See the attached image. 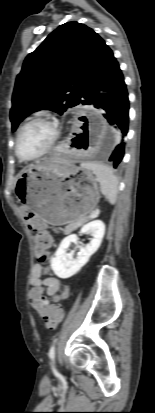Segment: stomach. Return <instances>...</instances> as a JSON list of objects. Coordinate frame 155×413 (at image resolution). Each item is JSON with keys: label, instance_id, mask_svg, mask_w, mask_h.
I'll return each instance as SVG.
<instances>
[{"label": "stomach", "instance_id": "stomach-1", "mask_svg": "<svg viewBox=\"0 0 155 413\" xmlns=\"http://www.w3.org/2000/svg\"><path fill=\"white\" fill-rule=\"evenodd\" d=\"M15 194L35 216L59 226L85 221L99 202L100 187L89 170L47 161L19 173Z\"/></svg>", "mask_w": 155, "mask_h": 413}]
</instances>
